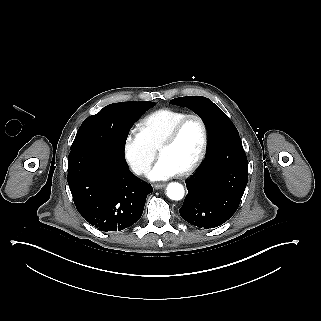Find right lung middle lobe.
I'll list each match as a JSON object with an SVG mask.
<instances>
[{
  "instance_id": "dd1d6c3e",
  "label": "right lung middle lobe",
  "mask_w": 321,
  "mask_h": 321,
  "mask_svg": "<svg viewBox=\"0 0 321 321\" xmlns=\"http://www.w3.org/2000/svg\"><path fill=\"white\" fill-rule=\"evenodd\" d=\"M154 105V102H120L104 107L99 113L84 120L77 131L70 150L98 148L124 154L126 139L116 135L112 126L110 111L121 107H138L144 113Z\"/></svg>"
}]
</instances>
